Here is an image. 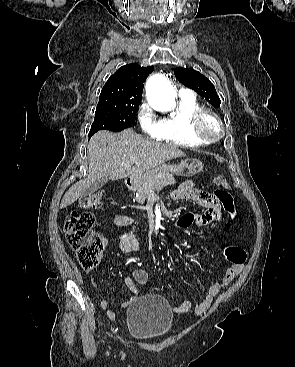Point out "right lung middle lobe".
<instances>
[{"instance_id": "dd1d6c3e", "label": "right lung middle lobe", "mask_w": 295, "mask_h": 367, "mask_svg": "<svg viewBox=\"0 0 295 367\" xmlns=\"http://www.w3.org/2000/svg\"><path fill=\"white\" fill-rule=\"evenodd\" d=\"M141 101L99 99L89 137L99 130L122 131L135 126V115Z\"/></svg>"}]
</instances>
